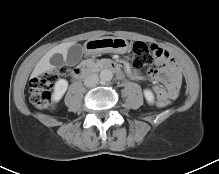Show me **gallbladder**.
<instances>
[{
	"mask_svg": "<svg viewBox=\"0 0 219 174\" xmlns=\"http://www.w3.org/2000/svg\"><path fill=\"white\" fill-rule=\"evenodd\" d=\"M83 56V47L80 44H74L68 49L66 62L70 66L76 65Z\"/></svg>",
	"mask_w": 219,
	"mask_h": 174,
	"instance_id": "1",
	"label": "gallbladder"
}]
</instances>
